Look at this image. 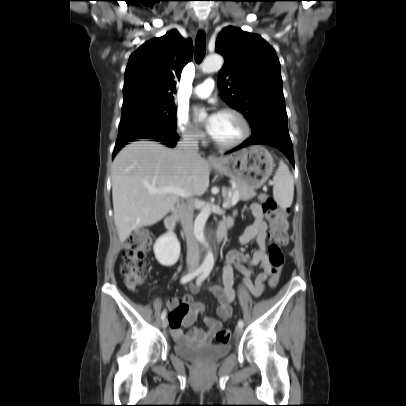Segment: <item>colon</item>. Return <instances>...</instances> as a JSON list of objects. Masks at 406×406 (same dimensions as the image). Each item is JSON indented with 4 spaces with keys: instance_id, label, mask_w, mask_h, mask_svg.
Returning <instances> with one entry per match:
<instances>
[{
    "instance_id": "5ec220e1",
    "label": "colon",
    "mask_w": 406,
    "mask_h": 406,
    "mask_svg": "<svg viewBox=\"0 0 406 406\" xmlns=\"http://www.w3.org/2000/svg\"><path fill=\"white\" fill-rule=\"evenodd\" d=\"M259 200L272 227L268 249V259L272 266V272L268 284L270 288H275L284 264L282 247L288 242V213L285 209L279 208L270 195L261 194ZM151 245V238L146 230H137L128 236L120 265V273L127 288L134 289L147 279L148 271L144 262V255L151 248ZM185 314L184 308L174 310L169 317L171 325L177 327L180 318ZM230 336L231 330L229 328L223 329L217 332L216 340L219 343H226Z\"/></svg>"
}]
</instances>
